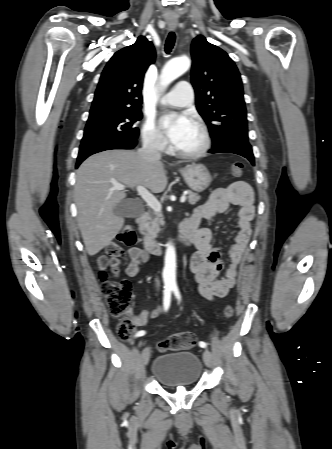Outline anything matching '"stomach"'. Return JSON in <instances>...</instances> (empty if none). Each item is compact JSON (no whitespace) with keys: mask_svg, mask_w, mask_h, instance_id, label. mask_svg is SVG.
<instances>
[{"mask_svg":"<svg viewBox=\"0 0 332 449\" xmlns=\"http://www.w3.org/2000/svg\"><path fill=\"white\" fill-rule=\"evenodd\" d=\"M187 185L196 192L206 190L212 182L207 168L202 164H193L180 170Z\"/></svg>","mask_w":332,"mask_h":449,"instance_id":"1","label":"stomach"}]
</instances>
